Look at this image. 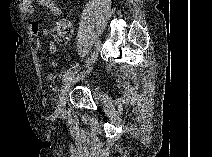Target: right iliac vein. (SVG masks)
<instances>
[{"label": "right iliac vein", "instance_id": "obj_1", "mask_svg": "<svg viewBox=\"0 0 212 157\" xmlns=\"http://www.w3.org/2000/svg\"><path fill=\"white\" fill-rule=\"evenodd\" d=\"M92 70V67H88L87 70L71 76L69 79H67L63 85V88L61 89L58 103H57V113L62 114L65 110V105H66V95L69 89L71 88L72 85H74L76 82L84 78L90 71Z\"/></svg>", "mask_w": 212, "mask_h": 157}]
</instances>
